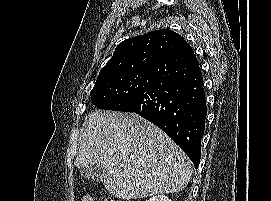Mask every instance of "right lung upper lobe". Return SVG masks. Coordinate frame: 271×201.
Here are the masks:
<instances>
[{"label":"right lung upper lobe","instance_id":"obj_1","mask_svg":"<svg viewBox=\"0 0 271 201\" xmlns=\"http://www.w3.org/2000/svg\"><path fill=\"white\" fill-rule=\"evenodd\" d=\"M184 39L168 29H161L120 43L113 57L101 69L98 78L133 70H151Z\"/></svg>","mask_w":271,"mask_h":201}]
</instances>
